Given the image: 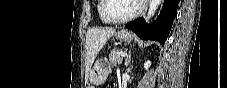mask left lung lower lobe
Instances as JSON below:
<instances>
[{
	"label": "left lung lower lobe",
	"instance_id": "obj_1",
	"mask_svg": "<svg viewBox=\"0 0 227 88\" xmlns=\"http://www.w3.org/2000/svg\"><path fill=\"white\" fill-rule=\"evenodd\" d=\"M179 0H165L157 20L144 25L143 18L137 19L125 26L142 39L155 40L164 45L177 14Z\"/></svg>",
	"mask_w": 227,
	"mask_h": 88
}]
</instances>
